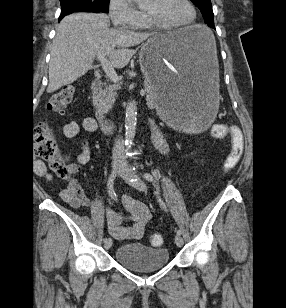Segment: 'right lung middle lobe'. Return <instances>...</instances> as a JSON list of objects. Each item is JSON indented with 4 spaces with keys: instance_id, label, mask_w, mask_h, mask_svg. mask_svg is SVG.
<instances>
[{
    "instance_id": "obj_1",
    "label": "right lung middle lobe",
    "mask_w": 286,
    "mask_h": 308,
    "mask_svg": "<svg viewBox=\"0 0 286 308\" xmlns=\"http://www.w3.org/2000/svg\"><path fill=\"white\" fill-rule=\"evenodd\" d=\"M110 0H60L61 14L72 12H108Z\"/></svg>"
}]
</instances>
